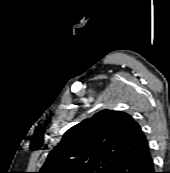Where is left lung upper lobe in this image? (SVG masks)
I'll return each instance as SVG.
<instances>
[{
    "instance_id": "1",
    "label": "left lung upper lobe",
    "mask_w": 170,
    "mask_h": 173,
    "mask_svg": "<svg viewBox=\"0 0 170 173\" xmlns=\"http://www.w3.org/2000/svg\"><path fill=\"white\" fill-rule=\"evenodd\" d=\"M147 148L145 135L129 114L103 110L66 131L39 173H114Z\"/></svg>"
}]
</instances>
